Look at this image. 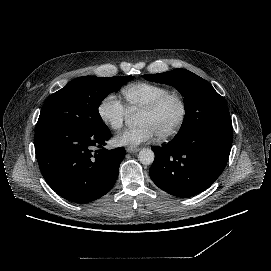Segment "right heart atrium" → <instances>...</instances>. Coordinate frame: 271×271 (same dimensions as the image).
<instances>
[{
  "label": "right heart atrium",
  "instance_id": "1",
  "mask_svg": "<svg viewBox=\"0 0 271 271\" xmlns=\"http://www.w3.org/2000/svg\"><path fill=\"white\" fill-rule=\"evenodd\" d=\"M97 115L110 130L116 132L124 126L127 108L114 92H110L99 102Z\"/></svg>",
  "mask_w": 271,
  "mask_h": 271
}]
</instances>
